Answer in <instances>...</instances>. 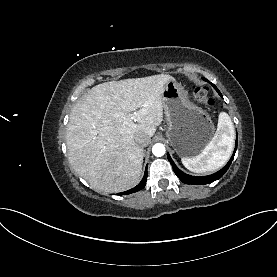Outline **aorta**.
<instances>
[{
  "mask_svg": "<svg viewBox=\"0 0 277 277\" xmlns=\"http://www.w3.org/2000/svg\"><path fill=\"white\" fill-rule=\"evenodd\" d=\"M165 146L161 143H157L152 147V153L156 157H161L165 154Z\"/></svg>",
  "mask_w": 277,
  "mask_h": 277,
  "instance_id": "aorta-1",
  "label": "aorta"
}]
</instances>
